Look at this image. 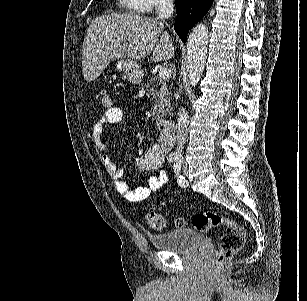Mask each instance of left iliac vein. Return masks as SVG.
Here are the masks:
<instances>
[{
  "label": "left iliac vein",
  "mask_w": 307,
  "mask_h": 301,
  "mask_svg": "<svg viewBox=\"0 0 307 301\" xmlns=\"http://www.w3.org/2000/svg\"><path fill=\"white\" fill-rule=\"evenodd\" d=\"M182 171H183V174H184L185 176L188 175V166H187L186 163H183Z\"/></svg>",
  "instance_id": "obj_1"
}]
</instances>
